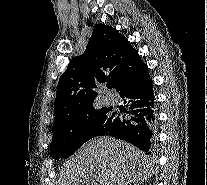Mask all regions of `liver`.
Segmentation results:
<instances>
[{
    "mask_svg": "<svg viewBox=\"0 0 207 185\" xmlns=\"http://www.w3.org/2000/svg\"><path fill=\"white\" fill-rule=\"evenodd\" d=\"M148 157L131 143L113 137H95L67 161L62 185L93 179L94 185H131L151 177Z\"/></svg>",
    "mask_w": 207,
    "mask_h": 185,
    "instance_id": "obj_1",
    "label": "liver"
}]
</instances>
